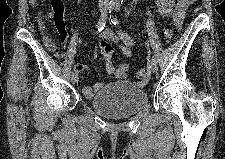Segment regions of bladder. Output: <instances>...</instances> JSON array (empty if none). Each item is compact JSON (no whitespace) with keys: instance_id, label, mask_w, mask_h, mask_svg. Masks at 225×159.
<instances>
[{"instance_id":"1","label":"bladder","mask_w":225,"mask_h":159,"mask_svg":"<svg viewBox=\"0 0 225 159\" xmlns=\"http://www.w3.org/2000/svg\"><path fill=\"white\" fill-rule=\"evenodd\" d=\"M98 113L112 119H124L135 115L148 104L143 88L127 80L115 81L103 86L89 101Z\"/></svg>"}]
</instances>
